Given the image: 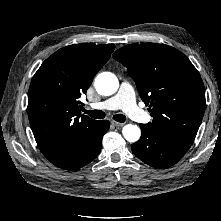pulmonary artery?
Returning <instances> with one entry per match:
<instances>
[{
  "mask_svg": "<svg viewBox=\"0 0 221 221\" xmlns=\"http://www.w3.org/2000/svg\"><path fill=\"white\" fill-rule=\"evenodd\" d=\"M91 108L95 110L122 109L131 119L141 123L148 122L151 118L146 111L137 105L134 90L127 82L121 84L117 95L103 102L93 103Z\"/></svg>",
  "mask_w": 221,
  "mask_h": 221,
  "instance_id": "pulmonary-artery-1",
  "label": "pulmonary artery"
}]
</instances>
